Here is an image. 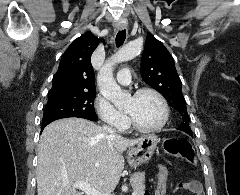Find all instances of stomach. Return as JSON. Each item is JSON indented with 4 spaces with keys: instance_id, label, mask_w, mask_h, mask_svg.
Masks as SVG:
<instances>
[{
    "instance_id": "1",
    "label": "stomach",
    "mask_w": 240,
    "mask_h": 195,
    "mask_svg": "<svg viewBox=\"0 0 240 195\" xmlns=\"http://www.w3.org/2000/svg\"><path fill=\"white\" fill-rule=\"evenodd\" d=\"M157 143V135H154V133L142 135V139L137 143L136 147H131L130 151H128L127 161L129 165L131 167H138L142 163H147L151 159Z\"/></svg>"
}]
</instances>
